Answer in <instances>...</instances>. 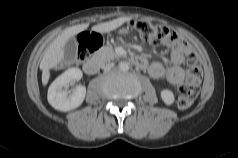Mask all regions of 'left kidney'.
Returning a JSON list of instances; mask_svg holds the SVG:
<instances>
[{"label": "left kidney", "instance_id": "left-kidney-1", "mask_svg": "<svg viewBox=\"0 0 238 158\" xmlns=\"http://www.w3.org/2000/svg\"><path fill=\"white\" fill-rule=\"evenodd\" d=\"M161 98H162L163 102L168 106L172 105L174 103V99H175L173 92L168 89H163L161 91Z\"/></svg>", "mask_w": 238, "mask_h": 158}]
</instances>
